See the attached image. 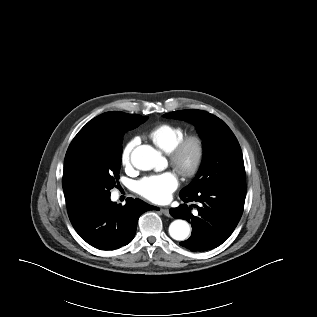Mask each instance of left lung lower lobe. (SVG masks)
Wrapping results in <instances>:
<instances>
[{
    "label": "left lung lower lobe",
    "mask_w": 317,
    "mask_h": 317,
    "mask_svg": "<svg viewBox=\"0 0 317 317\" xmlns=\"http://www.w3.org/2000/svg\"><path fill=\"white\" fill-rule=\"evenodd\" d=\"M246 197V183L216 184L197 194L180 195L185 202L178 208H171L174 218L187 220L192 224V234L188 240L180 242L191 251H205L221 245L232 234L242 213ZM198 210L194 216L188 202Z\"/></svg>",
    "instance_id": "0a47b994"
}]
</instances>
